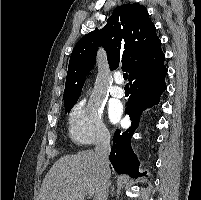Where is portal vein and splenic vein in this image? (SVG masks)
<instances>
[{
    "instance_id": "portal-vein-and-splenic-vein-1",
    "label": "portal vein and splenic vein",
    "mask_w": 201,
    "mask_h": 200,
    "mask_svg": "<svg viewBox=\"0 0 201 200\" xmlns=\"http://www.w3.org/2000/svg\"><path fill=\"white\" fill-rule=\"evenodd\" d=\"M89 196H92L90 193H87Z\"/></svg>"
}]
</instances>
